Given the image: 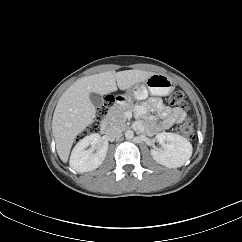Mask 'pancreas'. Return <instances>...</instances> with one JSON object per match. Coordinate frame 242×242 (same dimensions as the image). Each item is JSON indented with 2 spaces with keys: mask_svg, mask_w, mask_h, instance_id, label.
<instances>
[{
  "mask_svg": "<svg viewBox=\"0 0 242 242\" xmlns=\"http://www.w3.org/2000/svg\"><path fill=\"white\" fill-rule=\"evenodd\" d=\"M133 105L126 104V105H116L112 107L107 113V120L110 124L118 125L121 129L126 128V118L124 113L126 111H132Z\"/></svg>",
  "mask_w": 242,
  "mask_h": 242,
  "instance_id": "obj_1",
  "label": "pancreas"
}]
</instances>
